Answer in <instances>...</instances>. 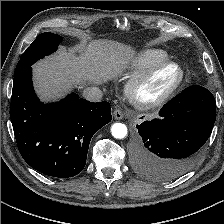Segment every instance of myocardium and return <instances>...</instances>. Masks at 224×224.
<instances>
[{
	"instance_id": "obj_1",
	"label": "myocardium",
	"mask_w": 224,
	"mask_h": 224,
	"mask_svg": "<svg viewBox=\"0 0 224 224\" xmlns=\"http://www.w3.org/2000/svg\"><path fill=\"white\" fill-rule=\"evenodd\" d=\"M174 69L177 72V76L173 79L170 85L157 97L152 99H145L142 97V90L147 83L159 72L165 69ZM185 77V71L183 67L175 61H162L157 63L140 74L135 75L128 83L126 87V95L129 101L138 109L150 110L162 106L166 103L175 91L182 84Z\"/></svg>"
}]
</instances>
